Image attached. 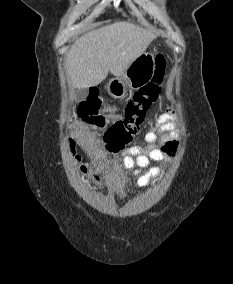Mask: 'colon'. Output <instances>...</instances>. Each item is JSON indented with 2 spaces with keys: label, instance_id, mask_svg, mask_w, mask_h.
<instances>
[{
  "label": "colon",
  "instance_id": "1",
  "mask_svg": "<svg viewBox=\"0 0 233 284\" xmlns=\"http://www.w3.org/2000/svg\"><path fill=\"white\" fill-rule=\"evenodd\" d=\"M167 68V58L163 53L154 57L153 76L149 82L138 89L127 102L123 116L112 123L104 132V147L108 152L116 153L124 149L140 133L146 112L158 99ZM81 119L95 129L105 127V118L101 113V101L95 96H89L79 105ZM80 162L79 157H76ZM85 170V166H80Z\"/></svg>",
  "mask_w": 233,
  "mask_h": 284
}]
</instances>
